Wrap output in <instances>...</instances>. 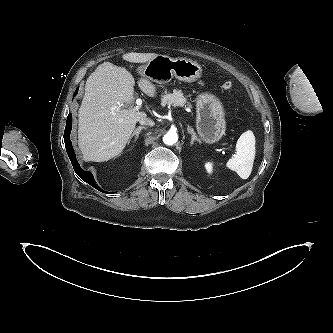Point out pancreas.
<instances>
[{"label": "pancreas", "mask_w": 333, "mask_h": 333, "mask_svg": "<svg viewBox=\"0 0 333 333\" xmlns=\"http://www.w3.org/2000/svg\"><path fill=\"white\" fill-rule=\"evenodd\" d=\"M161 105L162 106H191L188 102L185 96L183 95L181 90H173V93H167L165 92L164 95H162L161 99Z\"/></svg>", "instance_id": "pancreas-1"}]
</instances>
